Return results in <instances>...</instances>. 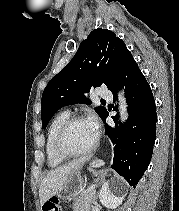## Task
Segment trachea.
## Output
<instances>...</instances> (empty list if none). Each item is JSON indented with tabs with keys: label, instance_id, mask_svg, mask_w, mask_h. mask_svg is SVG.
I'll return each mask as SVG.
<instances>
[{
	"label": "trachea",
	"instance_id": "3493384b",
	"mask_svg": "<svg viewBox=\"0 0 179 211\" xmlns=\"http://www.w3.org/2000/svg\"><path fill=\"white\" fill-rule=\"evenodd\" d=\"M101 102H105V100H101Z\"/></svg>",
	"mask_w": 179,
	"mask_h": 211
}]
</instances>
